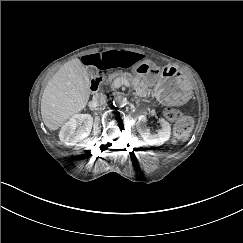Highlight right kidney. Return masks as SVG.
Returning a JSON list of instances; mask_svg holds the SVG:
<instances>
[{
    "label": "right kidney",
    "mask_w": 243,
    "mask_h": 243,
    "mask_svg": "<svg viewBox=\"0 0 243 243\" xmlns=\"http://www.w3.org/2000/svg\"><path fill=\"white\" fill-rule=\"evenodd\" d=\"M93 118L90 114H75L59 132V139L66 145H75L89 135Z\"/></svg>",
    "instance_id": "obj_1"
}]
</instances>
